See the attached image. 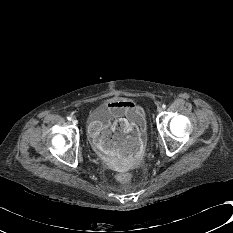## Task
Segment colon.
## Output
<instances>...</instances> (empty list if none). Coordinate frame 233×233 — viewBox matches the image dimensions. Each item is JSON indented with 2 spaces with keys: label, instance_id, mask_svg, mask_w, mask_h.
<instances>
[{
  "label": "colon",
  "instance_id": "5ec220e1",
  "mask_svg": "<svg viewBox=\"0 0 233 233\" xmlns=\"http://www.w3.org/2000/svg\"><path fill=\"white\" fill-rule=\"evenodd\" d=\"M114 127H115V129L121 131L125 128V124L122 121H116L114 123ZM116 178L120 183L126 184V183H129L131 181L132 177H131L130 173L125 172V171H121L117 174Z\"/></svg>",
  "mask_w": 233,
  "mask_h": 233
}]
</instances>
